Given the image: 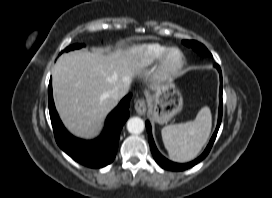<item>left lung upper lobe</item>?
<instances>
[{"instance_id": "5c2ea615", "label": "left lung upper lobe", "mask_w": 272, "mask_h": 198, "mask_svg": "<svg viewBox=\"0 0 272 198\" xmlns=\"http://www.w3.org/2000/svg\"><path fill=\"white\" fill-rule=\"evenodd\" d=\"M183 43L189 47H192L196 52L203 56H212L211 53L207 50V48L194 40H184Z\"/></svg>"}]
</instances>
